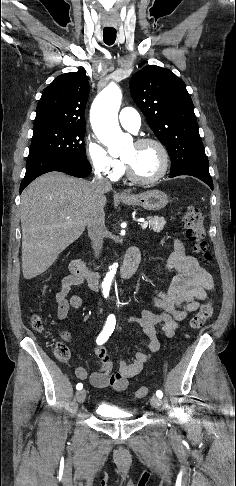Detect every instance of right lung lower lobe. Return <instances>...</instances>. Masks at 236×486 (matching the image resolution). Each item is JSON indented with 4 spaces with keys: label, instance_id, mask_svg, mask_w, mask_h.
<instances>
[{
    "label": "right lung lower lobe",
    "instance_id": "right-lung-lower-lobe-1",
    "mask_svg": "<svg viewBox=\"0 0 236 486\" xmlns=\"http://www.w3.org/2000/svg\"><path fill=\"white\" fill-rule=\"evenodd\" d=\"M51 171H60L75 177H85L91 173L92 168L87 160L81 159L50 156L29 158L26 163L25 177L20 185V193L35 178Z\"/></svg>",
    "mask_w": 236,
    "mask_h": 486
}]
</instances>
